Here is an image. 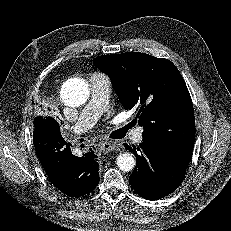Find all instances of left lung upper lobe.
<instances>
[{
	"instance_id": "obj_1",
	"label": "left lung upper lobe",
	"mask_w": 231,
	"mask_h": 231,
	"mask_svg": "<svg viewBox=\"0 0 231 231\" xmlns=\"http://www.w3.org/2000/svg\"><path fill=\"white\" fill-rule=\"evenodd\" d=\"M113 82L125 109L137 110L143 138L175 147L194 146L195 117L186 83L176 66L140 52L102 55L93 59Z\"/></svg>"
}]
</instances>
